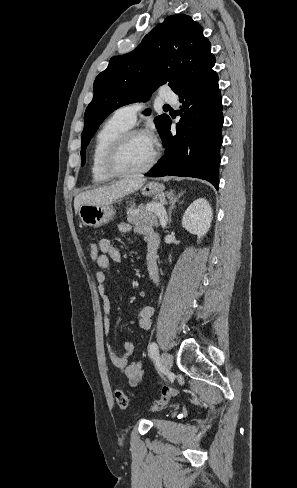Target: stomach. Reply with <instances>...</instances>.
<instances>
[{
	"label": "stomach",
	"mask_w": 297,
	"mask_h": 488,
	"mask_svg": "<svg viewBox=\"0 0 297 488\" xmlns=\"http://www.w3.org/2000/svg\"><path fill=\"white\" fill-rule=\"evenodd\" d=\"M165 186L159 182H149L141 188L144 196L158 198L162 195ZM115 216L112 205L83 204L79 208V217L84 225L97 228L110 222Z\"/></svg>",
	"instance_id": "0dacf381"
}]
</instances>
